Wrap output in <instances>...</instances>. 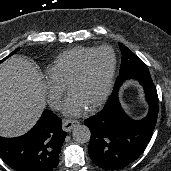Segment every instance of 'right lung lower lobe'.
Returning <instances> with one entry per match:
<instances>
[{"label":"right lung lower lobe","mask_w":171,"mask_h":171,"mask_svg":"<svg viewBox=\"0 0 171 171\" xmlns=\"http://www.w3.org/2000/svg\"><path fill=\"white\" fill-rule=\"evenodd\" d=\"M62 121L45 109L37 124L17 138L0 137V157L16 171H53L66 137Z\"/></svg>","instance_id":"obj_1"}]
</instances>
